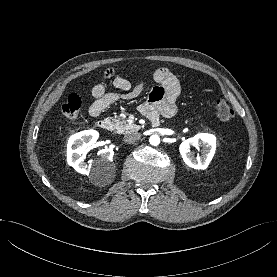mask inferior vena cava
I'll list each match as a JSON object with an SVG mask.
<instances>
[{
  "label": "inferior vena cava",
  "mask_w": 277,
  "mask_h": 277,
  "mask_svg": "<svg viewBox=\"0 0 277 277\" xmlns=\"http://www.w3.org/2000/svg\"><path fill=\"white\" fill-rule=\"evenodd\" d=\"M140 137H141L140 133L132 132V133H128L124 136V141L126 143H133V142L137 141Z\"/></svg>",
  "instance_id": "1"
}]
</instances>
